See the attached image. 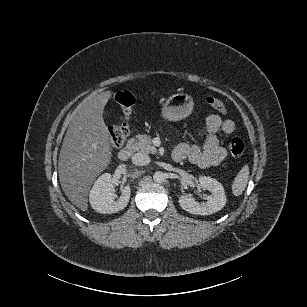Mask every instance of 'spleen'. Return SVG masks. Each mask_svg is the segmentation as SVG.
I'll return each mask as SVG.
<instances>
[{
	"label": "spleen",
	"mask_w": 307,
	"mask_h": 307,
	"mask_svg": "<svg viewBox=\"0 0 307 307\" xmlns=\"http://www.w3.org/2000/svg\"><path fill=\"white\" fill-rule=\"evenodd\" d=\"M249 179V166L244 165L242 169L239 171L237 176L234 178V182L232 184V192L235 196H239L245 190Z\"/></svg>",
	"instance_id": "obj_1"
}]
</instances>
